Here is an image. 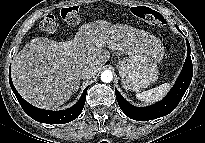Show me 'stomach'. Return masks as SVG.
Returning <instances> with one entry per match:
<instances>
[{"mask_svg":"<svg viewBox=\"0 0 205 143\" xmlns=\"http://www.w3.org/2000/svg\"><path fill=\"white\" fill-rule=\"evenodd\" d=\"M157 56L140 52L117 63L123 88L139 92L155 83L159 77Z\"/></svg>","mask_w":205,"mask_h":143,"instance_id":"obj_1","label":"stomach"}]
</instances>
